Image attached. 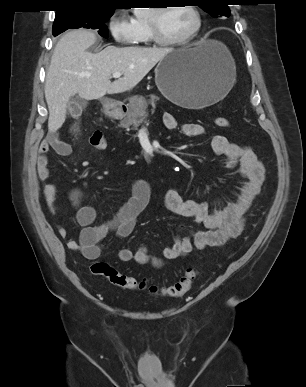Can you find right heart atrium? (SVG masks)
I'll return each mask as SVG.
<instances>
[{"instance_id": "obj_1", "label": "right heart atrium", "mask_w": 306, "mask_h": 387, "mask_svg": "<svg viewBox=\"0 0 306 387\" xmlns=\"http://www.w3.org/2000/svg\"><path fill=\"white\" fill-rule=\"evenodd\" d=\"M108 30L112 38L119 44L125 45L133 41L134 26L131 21L120 15L114 14L110 17Z\"/></svg>"}]
</instances>
